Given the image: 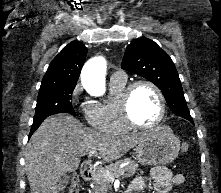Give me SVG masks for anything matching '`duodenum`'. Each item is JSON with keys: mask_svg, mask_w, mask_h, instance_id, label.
I'll return each mask as SVG.
<instances>
[{"mask_svg": "<svg viewBox=\"0 0 221 193\" xmlns=\"http://www.w3.org/2000/svg\"><path fill=\"white\" fill-rule=\"evenodd\" d=\"M93 173H94V170L90 163H84L80 168V174L84 180L91 179L93 176ZM123 193H130V191H125Z\"/></svg>", "mask_w": 221, "mask_h": 193, "instance_id": "1", "label": "duodenum"}]
</instances>
